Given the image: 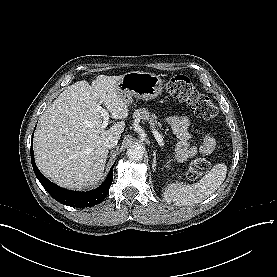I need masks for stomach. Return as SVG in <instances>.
Instances as JSON below:
<instances>
[{
	"label": "stomach",
	"mask_w": 277,
	"mask_h": 277,
	"mask_svg": "<svg viewBox=\"0 0 277 277\" xmlns=\"http://www.w3.org/2000/svg\"><path fill=\"white\" fill-rule=\"evenodd\" d=\"M118 94L127 102H132V97L151 100L163 91V80L159 75L143 71H130L122 75L117 82Z\"/></svg>",
	"instance_id": "stomach-1"
}]
</instances>
